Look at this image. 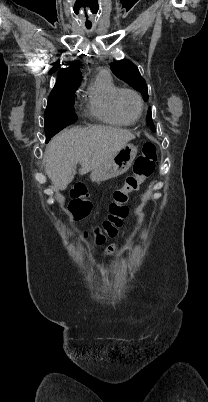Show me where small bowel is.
<instances>
[{
	"label": "small bowel",
	"instance_id": "small-bowel-1",
	"mask_svg": "<svg viewBox=\"0 0 208 402\" xmlns=\"http://www.w3.org/2000/svg\"><path fill=\"white\" fill-rule=\"evenodd\" d=\"M106 252L108 253V254H107V257H108V258H111V257H112V254H116V253L118 252V249H117L116 247H108V248L106 249Z\"/></svg>",
	"mask_w": 208,
	"mask_h": 402
}]
</instances>
